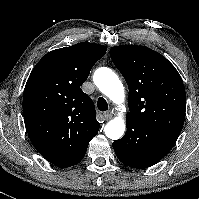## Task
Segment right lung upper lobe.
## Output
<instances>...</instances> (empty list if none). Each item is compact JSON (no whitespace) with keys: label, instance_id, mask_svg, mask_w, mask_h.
Returning a JSON list of instances; mask_svg holds the SVG:
<instances>
[{"label":"right lung upper lobe","instance_id":"right-lung-upper-lobe-1","mask_svg":"<svg viewBox=\"0 0 199 199\" xmlns=\"http://www.w3.org/2000/svg\"><path fill=\"white\" fill-rule=\"evenodd\" d=\"M106 53L95 43H78L47 53L32 70L23 95L28 136L50 163L66 168L78 164L97 135L91 98L80 86Z\"/></svg>","mask_w":199,"mask_h":199}]
</instances>
